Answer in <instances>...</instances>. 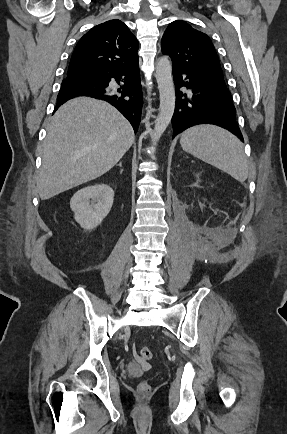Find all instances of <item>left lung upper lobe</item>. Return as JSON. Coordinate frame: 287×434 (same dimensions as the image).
<instances>
[{"instance_id":"5c2ea615","label":"left lung upper lobe","mask_w":287,"mask_h":434,"mask_svg":"<svg viewBox=\"0 0 287 434\" xmlns=\"http://www.w3.org/2000/svg\"><path fill=\"white\" fill-rule=\"evenodd\" d=\"M163 54L169 55L172 65L201 72L225 84L220 62L210 38L182 20L167 27L161 42Z\"/></svg>"}]
</instances>
